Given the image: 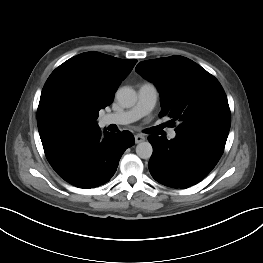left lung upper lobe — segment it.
<instances>
[{
  "label": "left lung upper lobe",
  "instance_id": "left-lung-upper-lobe-1",
  "mask_svg": "<svg viewBox=\"0 0 263 263\" xmlns=\"http://www.w3.org/2000/svg\"><path fill=\"white\" fill-rule=\"evenodd\" d=\"M135 71L160 92V116L178 121L175 131L228 134L231 114L218 80L192 60L171 56L140 62Z\"/></svg>",
  "mask_w": 263,
  "mask_h": 263
}]
</instances>
